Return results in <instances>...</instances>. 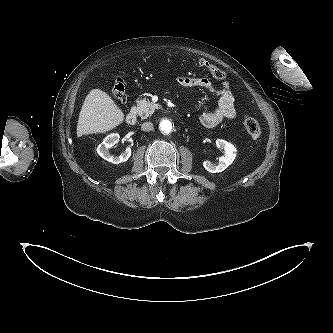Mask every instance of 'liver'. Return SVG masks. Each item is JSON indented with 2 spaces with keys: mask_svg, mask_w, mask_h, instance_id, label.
Segmentation results:
<instances>
[{
  "mask_svg": "<svg viewBox=\"0 0 333 333\" xmlns=\"http://www.w3.org/2000/svg\"><path fill=\"white\" fill-rule=\"evenodd\" d=\"M124 121L123 111L106 92L92 89L86 96L79 113L77 136L104 133Z\"/></svg>",
  "mask_w": 333,
  "mask_h": 333,
  "instance_id": "liver-1",
  "label": "liver"
}]
</instances>
